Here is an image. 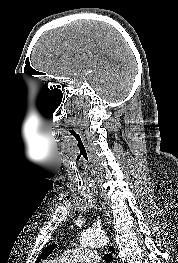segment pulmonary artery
<instances>
[{
	"mask_svg": "<svg viewBox=\"0 0 178 263\" xmlns=\"http://www.w3.org/2000/svg\"><path fill=\"white\" fill-rule=\"evenodd\" d=\"M56 260L60 263H98L99 254L92 249L76 248L64 251Z\"/></svg>",
	"mask_w": 178,
	"mask_h": 263,
	"instance_id": "obj_1",
	"label": "pulmonary artery"
}]
</instances>
